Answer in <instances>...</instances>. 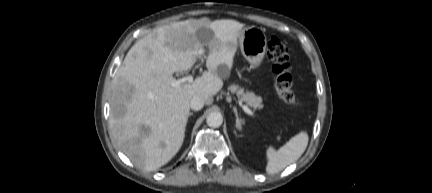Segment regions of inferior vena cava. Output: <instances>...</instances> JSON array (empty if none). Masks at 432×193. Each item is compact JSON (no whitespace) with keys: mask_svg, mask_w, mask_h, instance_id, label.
<instances>
[{"mask_svg":"<svg viewBox=\"0 0 432 193\" xmlns=\"http://www.w3.org/2000/svg\"><path fill=\"white\" fill-rule=\"evenodd\" d=\"M204 104H205V100H204L203 96L194 95L191 99V102H190V108L192 110L198 111V110H201L203 108Z\"/></svg>","mask_w":432,"mask_h":193,"instance_id":"obj_1","label":"inferior vena cava"}]
</instances>
